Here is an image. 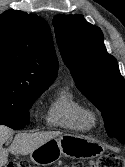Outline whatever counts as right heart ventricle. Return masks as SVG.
Instances as JSON below:
<instances>
[{"instance_id":"1","label":"right heart ventricle","mask_w":125,"mask_h":167,"mask_svg":"<svg viewBox=\"0 0 125 167\" xmlns=\"http://www.w3.org/2000/svg\"><path fill=\"white\" fill-rule=\"evenodd\" d=\"M86 107L68 88H62L49 104L46 122L50 127L72 131L87 130L90 125L85 118Z\"/></svg>"}]
</instances>
